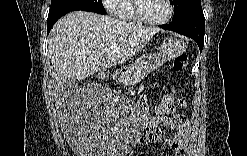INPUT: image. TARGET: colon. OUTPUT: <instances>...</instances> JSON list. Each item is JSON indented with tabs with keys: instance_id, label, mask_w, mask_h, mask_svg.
<instances>
[{
	"instance_id": "colon-1",
	"label": "colon",
	"mask_w": 247,
	"mask_h": 156,
	"mask_svg": "<svg viewBox=\"0 0 247 156\" xmlns=\"http://www.w3.org/2000/svg\"><path fill=\"white\" fill-rule=\"evenodd\" d=\"M187 66V55L182 53L177 55L172 63L174 71L180 72ZM174 94L171 92L167 95V98H159V101H155L153 107H149V112H153L152 121L154 124H158L159 121H163V118L167 117L164 112H171V106H174ZM157 130H159V125H154V128H149L146 132L147 136L153 137Z\"/></svg>"
}]
</instances>
